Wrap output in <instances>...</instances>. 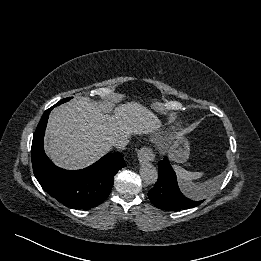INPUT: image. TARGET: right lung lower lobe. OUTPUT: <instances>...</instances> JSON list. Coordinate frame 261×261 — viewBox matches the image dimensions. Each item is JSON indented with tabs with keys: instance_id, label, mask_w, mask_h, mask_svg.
<instances>
[{
	"instance_id": "right-lung-lower-lobe-1",
	"label": "right lung lower lobe",
	"mask_w": 261,
	"mask_h": 261,
	"mask_svg": "<svg viewBox=\"0 0 261 261\" xmlns=\"http://www.w3.org/2000/svg\"><path fill=\"white\" fill-rule=\"evenodd\" d=\"M60 105L55 104L53 107ZM43 114L33 136L31 157L36 179L42 188L59 202L73 208L90 209L109 195L115 174L126 166L120 153L103 156L91 166L68 171L55 166L46 156L43 138L50 111Z\"/></svg>"
}]
</instances>
